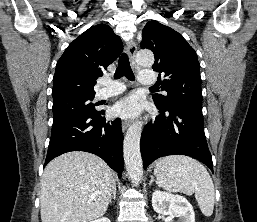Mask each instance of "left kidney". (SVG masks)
Segmentation results:
<instances>
[{
	"mask_svg": "<svg viewBox=\"0 0 257 222\" xmlns=\"http://www.w3.org/2000/svg\"><path fill=\"white\" fill-rule=\"evenodd\" d=\"M152 206L155 212L179 217L181 222H195L192 205L181 195L156 190L152 194Z\"/></svg>",
	"mask_w": 257,
	"mask_h": 222,
	"instance_id": "5707ae66",
	"label": "left kidney"
}]
</instances>
